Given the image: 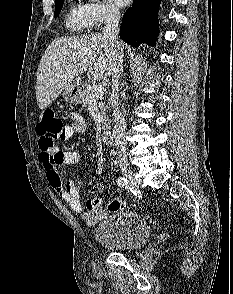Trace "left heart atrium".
Returning <instances> with one entry per match:
<instances>
[{"instance_id":"left-heart-atrium-1","label":"left heart atrium","mask_w":233,"mask_h":294,"mask_svg":"<svg viewBox=\"0 0 233 294\" xmlns=\"http://www.w3.org/2000/svg\"><path fill=\"white\" fill-rule=\"evenodd\" d=\"M115 4H117L118 6L124 7L126 5H128L131 0H112Z\"/></svg>"}]
</instances>
